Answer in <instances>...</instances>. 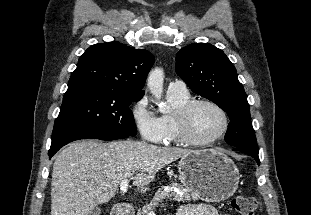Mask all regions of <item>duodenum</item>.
<instances>
[{"label": "duodenum", "instance_id": "duodenum-1", "mask_svg": "<svg viewBox=\"0 0 311 215\" xmlns=\"http://www.w3.org/2000/svg\"><path fill=\"white\" fill-rule=\"evenodd\" d=\"M112 215H132V210L126 204H117L113 208Z\"/></svg>", "mask_w": 311, "mask_h": 215}]
</instances>
